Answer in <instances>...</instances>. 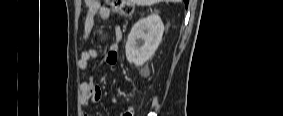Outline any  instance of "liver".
Here are the masks:
<instances>
[{
    "label": "liver",
    "mask_w": 283,
    "mask_h": 116,
    "mask_svg": "<svg viewBox=\"0 0 283 116\" xmlns=\"http://www.w3.org/2000/svg\"><path fill=\"white\" fill-rule=\"evenodd\" d=\"M139 5H152L162 0H134ZM171 2H178L179 0H169Z\"/></svg>",
    "instance_id": "obj_1"
}]
</instances>
